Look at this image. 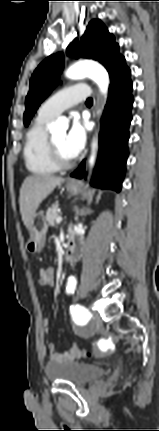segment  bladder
Returning a JSON list of instances; mask_svg holds the SVG:
<instances>
[{
	"label": "bladder",
	"instance_id": "bladder-1",
	"mask_svg": "<svg viewBox=\"0 0 159 431\" xmlns=\"http://www.w3.org/2000/svg\"><path fill=\"white\" fill-rule=\"evenodd\" d=\"M107 373L106 369L87 362H49L45 367V376L51 382L59 381L77 386L96 381Z\"/></svg>",
	"mask_w": 159,
	"mask_h": 431
}]
</instances>
